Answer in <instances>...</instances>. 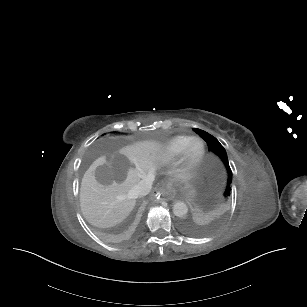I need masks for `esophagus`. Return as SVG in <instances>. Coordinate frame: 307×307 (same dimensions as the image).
Masks as SVG:
<instances>
[{
	"label": "esophagus",
	"mask_w": 307,
	"mask_h": 307,
	"mask_svg": "<svg viewBox=\"0 0 307 307\" xmlns=\"http://www.w3.org/2000/svg\"><path fill=\"white\" fill-rule=\"evenodd\" d=\"M160 194L164 200H172L175 197V190L171 187H167L166 189H162Z\"/></svg>",
	"instance_id": "esophagus-1"
}]
</instances>
